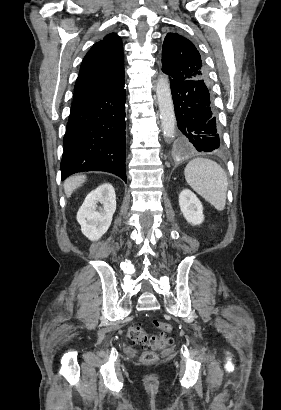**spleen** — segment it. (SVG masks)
Instances as JSON below:
<instances>
[{
    "instance_id": "3e777b00",
    "label": "spleen",
    "mask_w": 281,
    "mask_h": 410,
    "mask_svg": "<svg viewBox=\"0 0 281 410\" xmlns=\"http://www.w3.org/2000/svg\"><path fill=\"white\" fill-rule=\"evenodd\" d=\"M187 183L217 210L226 205L228 180L225 171L215 161L195 158L185 167Z\"/></svg>"
}]
</instances>
